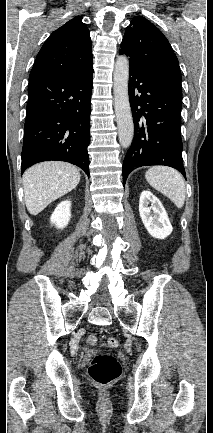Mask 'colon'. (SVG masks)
I'll return each instance as SVG.
<instances>
[{"label": "colon", "mask_w": 213, "mask_h": 433, "mask_svg": "<svg viewBox=\"0 0 213 433\" xmlns=\"http://www.w3.org/2000/svg\"><path fill=\"white\" fill-rule=\"evenodd\" d=\"M118 341L114 337H108L103 346L106 348H116ZM122 368L116 357L110 354H98L92 359L88 374L91 380L101 387H107L115 382L121 375Z\"/></svg>", "instance_id": "obj_1"}]
</instances>
